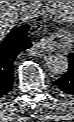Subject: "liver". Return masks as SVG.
Returning <instances> with one entry per match:
<instances>
[{
    "label": "liver",
    "mask_w": 74,
    "mask_h": 122,
    "mask_svg": "<svg viewBox=\"0 0 74 122\" xmlns=\"http://www.w3.org/2000/svg\"><path fill=\"white\" fill-rule=\"evenodd\" d=\"M34 1H0V38L1 40L15 27L20 18V10Z\"/></svg>",
    "instance_id": "6515ba94"
}]
</instances>
